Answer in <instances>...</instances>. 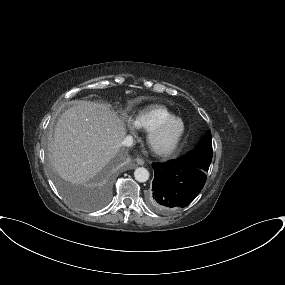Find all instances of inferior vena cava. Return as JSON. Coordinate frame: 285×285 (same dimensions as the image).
I'll return each instance as SVG.
<instances>
[{
    "label": "inferior vena cava",
    "mask_w": 285,
    "mask_h": 285,
    "mask_svg": "<svg viewBox=\"0 0 285 285\" xmlns=\"http://www.w3.org/2000/svg\"><path fill=\"white\" fill-rule=\"evenodd\" d=\"M121 145L125 146V147H131L133 145V138H132V136H126L122 140Z\"/></svg>",
    "instance_id": "obj_1"
}]
</instances>
